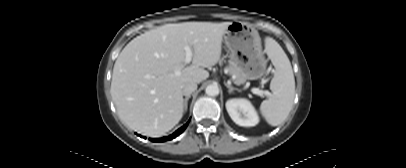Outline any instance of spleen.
I'll list each match as a JSON object with an SVG mask.
<instances>
[{
  "mask_svg": "<svg viewBox=\"0 0 406 168\" xmlns=\"http://www.w3.org/2000/svg\"><path fill=\"white\" fill-rule=\"evenodd\" d=\"M265 51L275 67L270 82L272 95L260 105V112L271 126H278L288 117L295 96V78L291 63L282 47L272 38L265 40Z\"/></svg>",
  "mask_w": 406,
  "mask_h": 168,
  "instance_id": "spleen-1",
  "label": "spleen"
}]
</instances>
